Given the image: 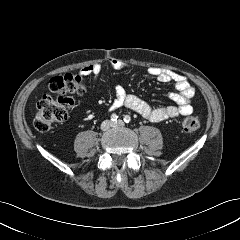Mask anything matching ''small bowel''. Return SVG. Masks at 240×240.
I'll return each instance as SVG.
<instances>
[{"label": "small bowel", "mask_w": 240, "mask_h": 240, "mask_svg": "<svg viewBox=\"0 0 240 240\" xmlns=\"http://www.w3.org/2000/svg\"><path fill=\"white\" fill-rule=\"evenodd\" d=\"M109 64L113 69L125 68V65L116 59H110ZM101 69L102 66L100 63H90L81 69V73L85 76H93L95 79H98ZM148 73L161 83L174 84L177 92L171 93L169 97L176 105L153 107L138 96L127 93L122 86H115V98L110 106V110L126 107L151 122H161L191 114L192 107L190 102L194 95V88L185 76L156 67H150Z\"/></svg>", "instance_id": "1"}]
</instances>
